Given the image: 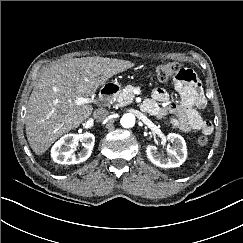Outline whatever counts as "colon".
I'll return each instance as SVG.
<instances>
[{
    "label": "colon",
    "instance_id": "1",
    "mask_svg": "<svg viewBox=\"0 0 243 243\" xmlns=\"http://www.w3.org/2000/svg\"><path fill=\"white\" fill-rule=\"evenodd\" d=\"M191 75V70L182 66L179 62H168L160 65L156 69V77L160 82L168 81L169 79H181L185 80ZM200 146L208 144V138L206 136H200L197 140Z\"/></svg>",
    "mask_w": 243,
    "mask_h": 243
}]
</instances>
